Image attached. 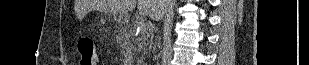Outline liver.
<instances>
[{
    "label": "liver",
    "mask_w": 309,
    "mask_h": 65,
    "mask_svg": "<svg viewBox=\"0 0 309 65\" xmlns=\"http://www.w3.org/2000/svg\"><path fill=\"white\" fill-rule=\"evenodd\" d=\"M138 2V3H137ZM137 8L139 13L149 15L152 19L159 20L166 10V3L162 0H96L91 4L80 1L84 9H95L101 12L113 14H126Z\"/></svg>",
    "instance_id": "liver-1"
}]
</instances>
